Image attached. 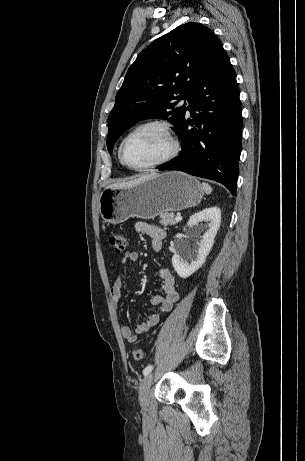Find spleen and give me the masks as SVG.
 Returning <instances> with one entry per match:
<instances>
[{
  "label": "spleen",
  "mask_w": 305,
  "mask_h": 461,
  "mask_svg": "<svg viewBox=\"0 0 305 461\" xmlns=\"http://www.w3.org/2000/svg\"><path fill=\"white\" fill-rule=\"evenodd\" d=\"M202 188L206 194H210L212 192L211 186L207 183H202Z\"/></svg>",
  "instance_id": "3e777b00"
}]
</instances>
